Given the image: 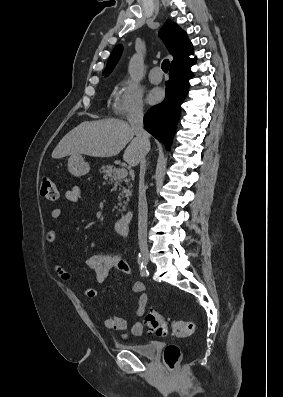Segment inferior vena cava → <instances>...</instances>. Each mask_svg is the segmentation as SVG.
<instances>
[{"mask_svg": "<svg viewBox=\"0 0 283 397\" xmlns=\"http://www.w3.org/2000/svg\"><path fill=\"white\" fill-rule=\"evenodd\" d=\"M143 109L141 106H137L132 113L129 115L128 121L134 130L136 136L144 143L146 149L149 147V135L143 128ZM146 152L141 156L140 160V180H139V205H138V239L139 246L142 249L147 250V219H148V207L144 188V175L146 170L145 161Z\"/></svg>", "mask_w": 283, "mask_h": 397, "instance_id": "inferior-vena-cava-1", "label": "inferior vena cava"}]
</instances>
